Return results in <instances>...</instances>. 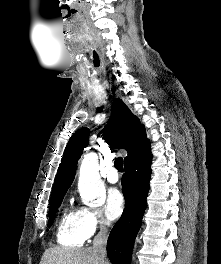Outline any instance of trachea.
Instances as JSON below:
<instances>
[{"instance_id": "trachea-1", "label": "trachea", "mask_w": 221, "mask_h": 264, "mask_svg": "<svg viewBox=\"0 0 221 264\" xmlns=\"http://www.w3.org/2000/svg\"><path fill=\"white\" fill-rule=\"evenodd\" d=\"M115 168L119 171V172H123V158L122 157H117L115 159Z\"/></svg>"}]
</instances>
